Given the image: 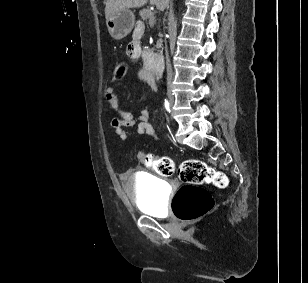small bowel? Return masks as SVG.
I'll return each mask as SVG.
<instances>
[{"instance_id": "small-bowel-1", "label": "small bowel", "mask_w": 308, "mask_h": 283, "mask_svg": "<svg viewBox=\"0 0 308 283\" xmlns=\"http://www.w3.org/2000/svg\"><path fill=\"white\" fill-rule=\"evenodd\" d=\"M143 35V25L137 23L133 31V38L126 46V55L133 60H140V66L136 71V78L141 81L150 79V70L146 66L142 54L140 39ZM104 97L109 104L113 116L110 125L117 136L121 139H126L130 132L129 128H135V135H148L156 138V132L150 123V115L147 110H141L138 115L132 112L125 111L119 107L118 97L112 86H107L104 89Z\"/></svg>"}]
</instances>
